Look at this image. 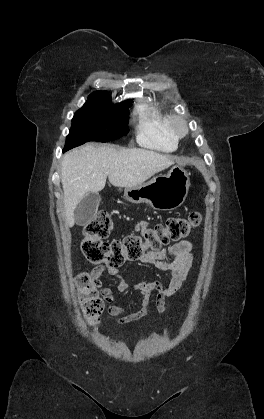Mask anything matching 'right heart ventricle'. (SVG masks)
Instances as JSON below:
<instances>
[{"label": "right heart ventricle", "mask_w": 264, "mask_h": 419, "mask_svg": "<svg viewBox=\"0 0 264 419\" xmlns=\"http://www.w3.org/2000/svg\"><path fill=\"white\" fill-rule=\"evenodd\" d=\"M137 142L146 148L171 152L177 148V140L168 128L169 115L157 101H146L137 106Z\"/></svg>", "instance_id": "1"}]
</instances>
